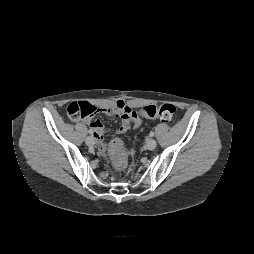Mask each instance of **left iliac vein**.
Segmentation results:
<instances>
[{
	"instance_id": "obj_1",
	"label": "left iliac vein",
	"mask_w": 254,
	"mask_h": 254,
	"mask_svg": "<svg viewBox=\"0 0 254 254\" xmlns=\"http://www.w3.org/2000/svg\"><path fill=\"white\" fill-rule=\"evenodd\" d=\"M156 145H157V142H156V140L153 139V138H149V139L146 141V148H147L148 150H153V149H155Z\"/></svg>"
}]
</instances>
